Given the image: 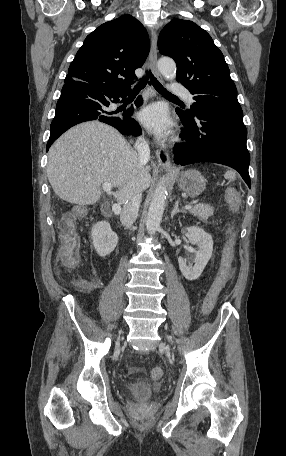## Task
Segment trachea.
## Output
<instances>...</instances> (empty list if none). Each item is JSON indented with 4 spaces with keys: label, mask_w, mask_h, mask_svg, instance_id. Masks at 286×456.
Here are the masks:
<instances>
[{
    "label": "trachea",
    "mask_w": 286,
    "mask_h": 456,
    "mask_svg": "<svg viewBox=\"0 0 286 456\" xmlns=\"http://www.w3.org/2000/svg\"><path fill=\"white\" fill-rule=\"evenodd\" d=\"M148 78H150L152 85L154 88L163 96L171 97V98H177L175 95L167 91L160 83L159 81L154 77V75L151 73V71L147 72ZM147 83L146 78L142 79L137 85L134 86L132 92H139L141 91Z\"/></svg>",
    "instance_id": "trachea-1"
}]
</instances>
